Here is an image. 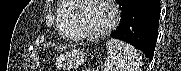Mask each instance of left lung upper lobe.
Instances as JSON below:
<instances>
[{
    "label": "left lung upper lobe",
    "mask_w": 181,
    "mask_h": 71,
    "mask_svg": "<svg viewBox=\"0 0 181 71\" xmlns=\"http://www.w3.org/2000/svg\"><path fill=\"white\" fill-rule=\"evenodd\" d=\"M120 0H116V2L118 3Z\"/></svg>",
    "instance_id": "obj_1"
}]
</instances>
